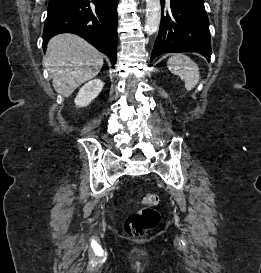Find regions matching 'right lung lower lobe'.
<instances>
[{
  "label": "right lung lower lobe",
  "instance_id": "obj_1",
  "mask_svg": "<svg viewBox=\"0 0 261 273\" xmlns=\"http://www.w3.org/2000/svg\"><path fill=\"white\" fill-rule=\"evenodd\" d=\"M119 0H50L43 30V47L51 37L74 33L106 54L112 64L117 52Z\"/></svg>",
  "mask_w": 261,
  "mask_h": 273
}]
</instances>
